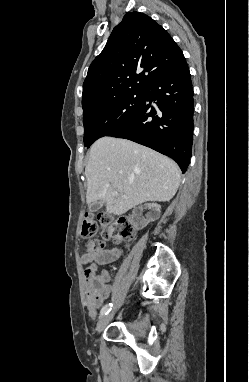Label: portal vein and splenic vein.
Masks as SVG:
<instances>
[{
  "instance_id": "obj_1",
  "label": "portal vein and splenic vein",
  "mask_w": 249,
  "mask_h": 382,
  "mask_svg": "<svg viewBox=\"0 0 249 382\" xmlns=\"http://www.w3.org/2000/svg\"><path fill=\"white\" fill-rule=\"evenodd\" d=\"M112 195H113V196H118V192H117V191H113V192H112Z\"/></svg>"
}]
</instances>
